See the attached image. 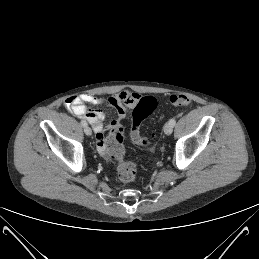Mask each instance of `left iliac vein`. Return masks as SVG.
Instances as JSON below:
<instances>
[{
    "instance_id": "4c4485c4",
    "label": "left iliac vein",
    "mask_w": 259,
    "mask_h": 259,
    "mask_svg": "<svg viewBox=\"0 0 259 259\" xmlns=\"http://www.w3.org/2000/svg\"><path fill=\"white\" fill-rule=\"evenodd\" d=\"M173 131V126L168 122L164 125V133L170 135Z\"/></svg>"
}]
</instances>
